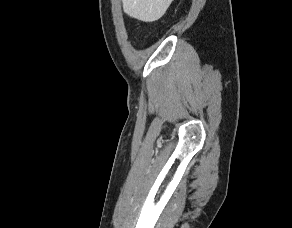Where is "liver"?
<instances>
[{
    "instance_id": "liver-1",
    "label": "liver",
    "mask_w": 292,
    "mask_h": 228,
    "mask_svg": "<svg viewBox=\"0 0 292 228\" xmlns=\"http://www.w3.org/2000/svg\"><path fill=\"white\" fill-rule=\"evenodd\" d=\"M173 0H122L123 10L130 17L143 22L160 19Z\"/></svg>"
}]
</instances>
